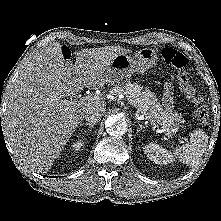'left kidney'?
Returning a JSON list of instances; mask_svg holds the SVG:
<instances>
[{"mask_svg": "<svg viewBox=\"0 0 221 221\" xmlns=\"http://www.w3.org/2000/svg\"><path fill=\"white\" fill-rule=\"evenodd\" d=\"M143 152L155 164L166 165L174 161L172 153L156 143L145 145Z\"/></svg>", "mask_w": 221, "mask_h": 221, "instance_id": "5707ae66", "label": "left kidney"}]
</instances>
